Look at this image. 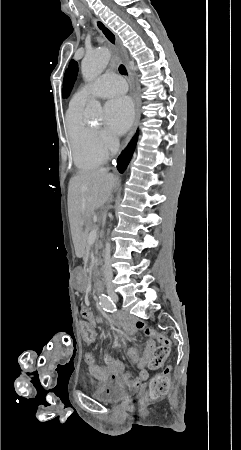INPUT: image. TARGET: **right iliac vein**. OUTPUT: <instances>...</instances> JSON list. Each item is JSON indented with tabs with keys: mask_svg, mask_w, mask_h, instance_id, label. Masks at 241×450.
I'll return each instance as SVG.
<instances>
[{
	"mask_svg": "<svg viewBox=\"0 0 241 450\" xmlns=\"http://www.w3.org/2000/svg\"><path fill=\"white\" fill-rule=\"evenodd\" d=\"M108 293H109V295L111 296L112 299H114L115 301L118 300L117 294H115L113 291L109 290Z\"/></svg>",
	"mask_w": 241,
	"mask_h": 450,
	"instance_id": "right-iliac-vein-1",
	"label": "right iliac vein"
}]
</instances>
